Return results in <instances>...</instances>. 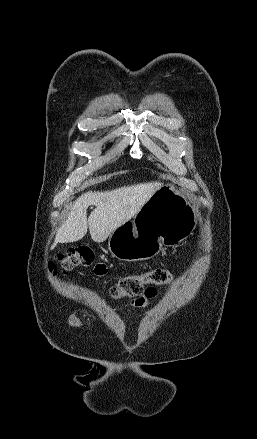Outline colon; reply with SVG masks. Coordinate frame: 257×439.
Segmentation results:
<instances>
[{
    "label": "colon",
    "instance_id": "5ec220e1",
    "mask_svg": "<svg viewBox=\"0 0 257 439\" xmlns=\"http://www.w3.org/2000/svg\"><path fill=\"white\" fill-rule=\"evenodd\" d=\"M93 260L94 252L86 246L72 249L64 254H59L57 257L63 273H67L76 266L89 265ZM51 268L55 269L53 263H51ZM171 280V273L165 269H154L139 275L128 274L123 276L118 284L110 289L109 294L113 299L137 297L143 295L145 284L165 285L170 283Z\"/></svg>",
    "mask_w": 257,
    "mask_h": 439
}]
</instances>
